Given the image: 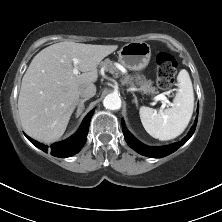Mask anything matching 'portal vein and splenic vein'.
I'll return each instance as SVG.
<instances>
[{
  "label": "portal vein and splenic vein",
  "instance_id": "18ae733b",
  "mask_svg": "<svg viewBox=\"0 0 222 222\" xmlns=\"http://www.w3.org/2000/svg\"><path fill=\"white\" fill-rule=\"evenodd\" d=\"M78 63H79V60L74 58L73 59V64H74L73 74L74 75H78L79 74V70H78V67H77ZM154 100L155 101H162V103H163L162 108H164L167 104H170V102L167 99V97L165 95H163V94L157 95L156 97H154Z\"/></svg>",
  "mask_w": 222,
  "mask_h": 222
}]
</instances>
